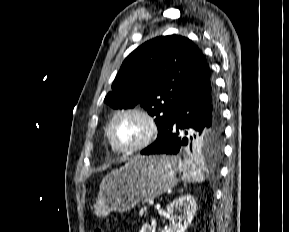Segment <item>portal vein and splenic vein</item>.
I'll return each mask as SVG.
<instances>
[{
	"label": "portal vein and splenic vein",
	"mask_w": 289,
	"mask_h": 232,
	"mask_svg": "<svg viewBox=\"0 0 289 232\" xmlns=\"http://www.w3.org/2000/svg\"><path fill=\"white\" fill-rule=\"evenodd\" d=\"M149 205H154V200H149Z\"/></svg>",
	"instance_id": "1"
}]
</instances>
